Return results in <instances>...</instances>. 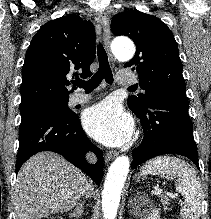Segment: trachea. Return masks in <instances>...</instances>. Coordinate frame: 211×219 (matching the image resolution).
Listing matches in <instances>:
<instances>
[{
	"label": "trachea",
	"instance_id": "trachea-1",
	"mask_svg": "<svg viewBox=\"0 0 211 219\" xmlns=\"http://www.w3.org/2000/svg\"><path fill=\"white\" fill-rule=\"evenodd\" d=\"M97 55L99 60L98 71L88 81L77 80L74 83L75 85L84 88L86 92H90L98 87L103 79H105L108 84L113 83V74L108 62V56L101 43L97 46ZM128 89L135 90V87L131 86Z\"/></svg>",
	"mask_w": 211,
	"mask_h": 219
}]
</instances>
